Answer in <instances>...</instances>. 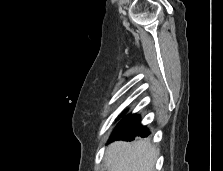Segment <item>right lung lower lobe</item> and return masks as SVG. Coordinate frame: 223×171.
I'll use <instances>...</instances> for the list:
<instances>
[{
    "mask_svg": "<svg viewBox=\"0 0 223 171\" xmlns=\"http://www.w3.org/2000/svg\"><path fill=\"white\" fill-rule=\"evenodd\" d=\"M149 131L147 128L140 124V118L138 115L126 116L115 128L110 137L112 140H134L135 137H147Z\"/></svg>",
    "mask_w": 223,
    "mask_h": 171,
    "instance_id": "obj_1",
    "label": "right lung lower lobe"
}]
</instances>
